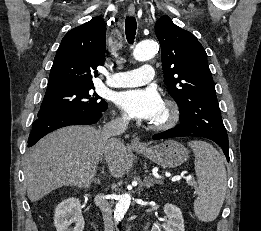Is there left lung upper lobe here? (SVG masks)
Here are the masks:
<instances>
[{
	"label": "left lung upper lobe",
	"mask_w": 261,
	"mask_h": 231,
	"mask_svg": "<svg viewBox=\"0 0 261 231\" xmlns=\"http://www.w3.org/2000/svg\"><path fill=\"white\" fill-rule=\"evenodd\" d=\"M161 45L164 83L180 111V122L211 138L228 139L207 54L197 38L168 16L155 25Z\"/></svg>",
	"instance_id": "1"
}]
</instances>
